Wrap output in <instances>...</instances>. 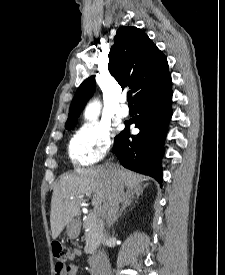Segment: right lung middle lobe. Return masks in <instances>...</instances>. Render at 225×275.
I'll use <instances>...</instances> for the list:
<instances>
[{
  "instance_id": "1",
  "label": "right lung middle lobe",
  "mask_w": 225,
  "mask_h": 275,
  "mask_svg": "<svg viewBox=\"0 0 225 275\" xmlns=\"http://www.w3.org/2000/svg\"><path fill=\"white\" fill-rule=\"evenodd\" d=\"M74 126H75V124H72V125L66 126L65 128L66 129H72Z\"/></svg>"
}]
</instances>
